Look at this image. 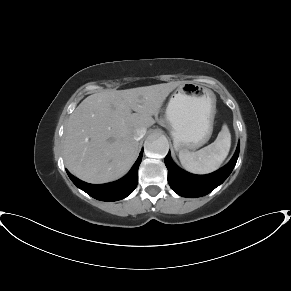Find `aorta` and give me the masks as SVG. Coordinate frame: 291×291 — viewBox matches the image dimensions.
I'll return each mask as SVG.
<instances>
[{
  "instance_id": "762f6f07",
  "label": "aorta",
  "mask_w": 291,
  "mask_h": 291,
  "mask_svg": "<svg viewBox=\"0 0 291 291\" xmlns=\"http://www.w3.org/2000/svg\"><path fill=\"white\" fill-rule=\"evenodd\" d=\"M144 147L146 155L152 158H163L169 150L168 140L164 136L149 138Z\"/></svg>"
}]
</instances>
